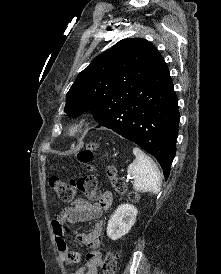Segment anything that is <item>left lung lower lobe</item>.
<instances>
[{
  "mask_svg": "<svg viewBox=\"0 0 221 274\" xmlns=\"http://www.w3.org/2000/svg\"><path fill=\"white\" fill-rule=\"evenodd\" d=\"M177 101L164 62L145 82L140 94L95 119L98 127L112 129L153 155L167 180L176 153L180 116Z\"/></svg>",
  "mask_w": 221,
  "mask_h": 274,
  "instance_id": "left-lung-lower-lobe-1",
  "label": "left lung lower lobe"
}]
</instances>
